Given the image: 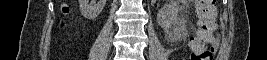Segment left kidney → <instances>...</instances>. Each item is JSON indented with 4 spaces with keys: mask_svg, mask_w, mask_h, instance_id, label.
Here are the masks:
<instances>
[{
    "mask_svg": "<svg viewBox=\"0 0 267 60\" xmlns=\"http://www.w3.org/2000/svg\"><path fill=\"white\" fill-rule=\"evenodd\" d=\"M178 8L173 4L164 5L157 14V22L162 28H169L176 21Z\"/></svg>",
    "mask_w": 267,
    "mask_h": 60,
    "instance_id": "left-kidney-1",
    "label": "left kidney"
}]
</instances>
